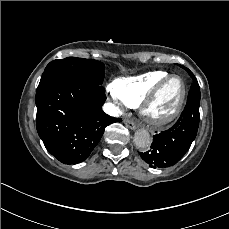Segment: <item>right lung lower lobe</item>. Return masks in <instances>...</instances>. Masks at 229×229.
Masks as SVG:
<instances>
[{"mask_svg": "<svg viewBox=\"0 0 229 229\" xmlns=\"http://www.w3.org/2000/svg\"><path fill=\"white\" fill-rule=\"evenodd\" d=\"M105 100L101 85L82 78H59L37 90L36 127L47 151L64 164L84 161L105 127L121 121L102 111Z\"/></svg>", "mask_w": 229, "mask_h": 229, "instance_id": "right-lung-lower-lobe-1", "label": "right lung lower lobe"}]
</instances>
